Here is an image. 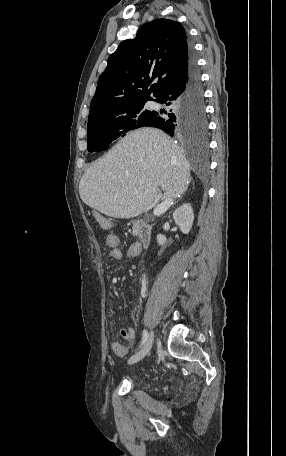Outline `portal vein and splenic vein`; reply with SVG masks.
Segmentation results:
<instances>
[{
	"mask_svg": "<svg viewBox=\"0 0 286 456\" xmlns=\"http://www.w3.org/2000/svg\"><path fill=\"white\" fill-rule=\"evenodd\" d=\"M172 203H173V201L171 198L166 199L163 203L157 205L154 208V211H153L154 215H160V214L164 213Z\"/></svg>",
	"mask_w": 286,
	"mask_h": 456,
	"instance_id": "obj_1",
	"label": "portal vein and splenic vein"
}]
</instances>
